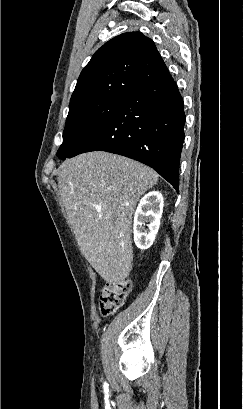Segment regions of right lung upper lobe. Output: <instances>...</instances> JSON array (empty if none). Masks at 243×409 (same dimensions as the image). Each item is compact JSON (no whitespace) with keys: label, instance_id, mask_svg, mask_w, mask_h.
Segmentation results:
<instances>
[{"label":"right lung upper lobe","instance_id":"1","mask_svg":"<svg viewBox=\"0 0 243 409\" xmlns=\"http://www.w3.org/2000/svg\"><path fill=\"white\" fill-rule=\"evenodd\" d=\"M169 74L154 42L140 32L116 36L82 70L70 105L100 98H127Z\"/></svg>","mask_w":243,"mask_h":409}]
</instances>
